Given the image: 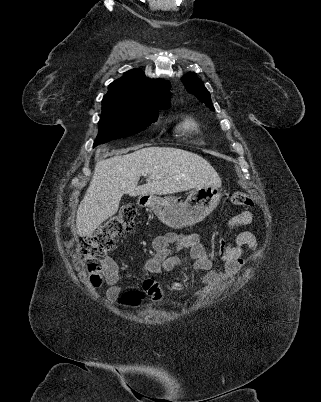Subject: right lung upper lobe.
Instances as JSON below:
<instances>
[{
    "label": "right lung upper lobe",
    "mask_w": 321,
    "mask_h": 402,
    "mask_svg": "<svg viewBox=\"0 0 321 402\" xmlns=\"http://www.w3.org/2000/svg\"><path fill=\"white\" fill-rule=\"evenodd\" d=\"M170 83L161 79H149L139 69L124 73L123 77L108 87L105 101H120L139 106L165 107L170 103Z\"/></svg>",
    "instance_id": "1"
}]
</instances>
